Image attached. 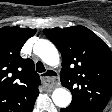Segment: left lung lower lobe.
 Instances as JSON below:
<instances>
[{"label": "left lung lower lobe", "instance_id": "obj_1", "mask_svg": "<svg viewBox=\"0 0 112 112\" xmlns=\"http://www.w3.org/2000/svg\"><path fill=\"white\" fill-rule=\"evenodd\" d=\"M103 110L94 109V108H84V107H77V106H68L65 109H61L60 112H102Z\"/></svg>", "mask_w": 112, "mask_h": 112}]
</instances>
